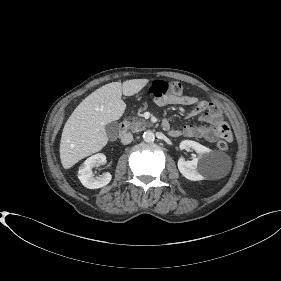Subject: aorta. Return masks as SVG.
Wrapping results in <instances>:
<instances>
[{"instance_id": "aorta-1", "label": "aorta", "mask_w": 281, "mask_h": 281, "mask_svg": "<svg viewBox=\"0 0 281 281\" xmlns=\"http://www.w3.org/2000/svg\"><path fill=\"white\" fill-rule=\"evenodd\" d=\"M143 139L145 142L150 143V142L154 141L155 135L151 130H147L143 134Z\"/></svg>"}]
</instances>
